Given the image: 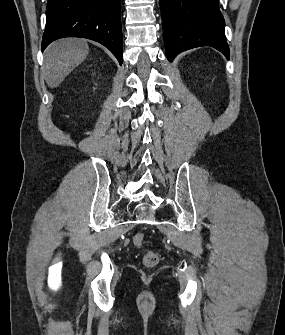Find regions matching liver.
Returning <instances> with one entry per match:
<instances>
[{
  "label": "liver",
  "instance_id": "1",
  "mask_svg": "<svg viewBox=\"0 0 285 335\" xmlns=\"http://www.w3.org/2000/svg\"><path fill=\"white\" fill-rule=\"evenodd\" d=\"M86 40L64 38L48 46L44 56V70L49 88H57L64 78L80 66L88 54Z\"/></svg>",
  "mask_w": 285,
  "mask_h": 335
}]
</instances>
